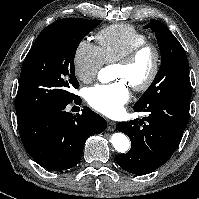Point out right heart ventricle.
Returning <instances> with one entry per match:
<instances>
[{
  "label": "right heart ventricle",
  "instance_id": "obj_1",
  "mask_svg": "<svg viewBox=\"0 0 199 199\" xmlns=\"http://www.w3.org/2000/svg\"><path fill=\"white\" fill-rule=\"evenodd\" d=\"M105 63H113L133 47L147 42V36L130 24H114L100 30L96 35Z\"/></svg>",
  "mask_w": 199,
  "mask_h": 199
}]
</instances>
